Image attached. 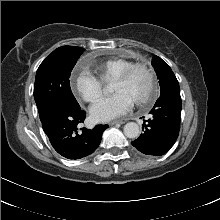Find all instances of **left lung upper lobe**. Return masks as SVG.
<instances>
[{"label": "left lung upper lobe", "mask_w": 220, "mask_h": 220, "mask_svg": "<svg viewBox=\"0 0 220 220\" xmlns=\"http://www.w3.org/2000/svg\"><path fill=\"white\" fill-rule=\"evenodd\" d=\"M152 65L159 79L161 95L180 92L179 83L173 71L160 57L154 56Z\"/></svg>", "instance_id": "obj_1"}]
</instances>
